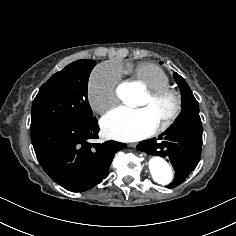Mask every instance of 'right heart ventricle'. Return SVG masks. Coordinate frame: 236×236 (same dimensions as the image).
<instances>
[{
  "label": "right heart ventricle",
  "mask_w": 236,
  "mask_h": 236,
  "mask_svg": "<svg viewBox=\"0 0 236 236\" xmlns=\"http://www.w3.org/2000/svg\"><path fill=\"white\" fill-rule=\"evenodd\" d=\"M126 71L131 75L133 82L142 85L146 91H152L170 85L169 75L159 66L141 63L127 66Z\"/></svg>",
  "instance_id": "e07e8e85"
}]
</instances>
